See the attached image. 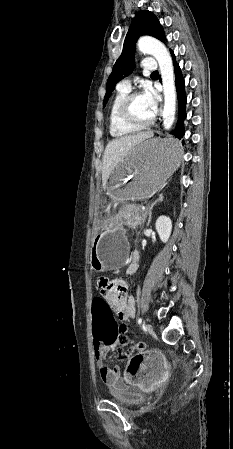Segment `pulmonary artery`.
<instances>
[{"instance_id":"obj_1","label":"pulmonary artery","mask_w":233,"mask_h":449,"mask_svg":"<svg viewBox=\"0 0 233 449\" xmlns=\"http://www.w3.org/2000/svg\"><path fill=\"white\" fill-rule=\"evenodd\" d=\"M157 65L156 62L153 58H146L143 62V68L146 71H153L154 69H156ZM119 87H125V88H129L131 87V83L130 80L126 79L120 82V84L118 85Z\"/></svg>"}]
</instances>
